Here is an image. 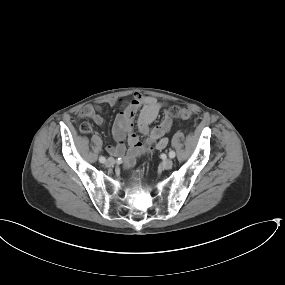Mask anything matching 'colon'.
<instances>
[{"label": "colon", "mask_w": 285, "mask_h": 285, "mask_svg": "<svg viewBox=\"0 0 285 285\" xmlns=\"http://www.w3.org/2000/svg\"><path fill=\"white\" fill-rule=\"evenodd\" d=\"M168 113L177 119H188L191 116L190 109L185 106H173L168 110Z\"/></svg>", "instance_id": "colon-1"}]
</instances>
